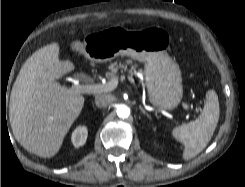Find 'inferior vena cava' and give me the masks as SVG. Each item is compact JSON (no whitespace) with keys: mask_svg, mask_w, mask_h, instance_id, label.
I'll return each mask as SVG.
<instances>
[{"mask_svg":"<svg viewBox=\"0 0 245 187\" xmlns=\"http://www.w3.org/2000/svg\"><path fill=\"white\" fill-rule=\"evenodd\" d=\"M111 103V98L106 94H97L95 96V104L97 107L104 108Z\"/></svg>","mask_w":245,"mask_h":187,"instance_id":"602c4592","label":"inferior vena cava"}]
</instances>
